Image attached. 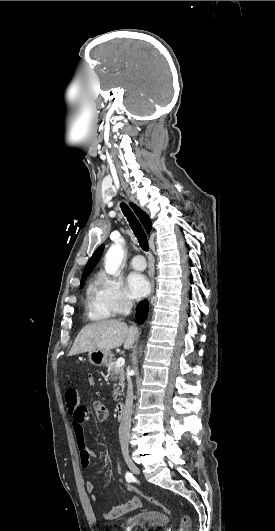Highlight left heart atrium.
Here are the masks:
<instances>
[{
    "instance_id": "left-heart-atrium-1",
    "label": "left heart atrium",
    "mask_w": 275,
    "mask_h": 531,
    "mask_svg": "<svg viewBox=\"0 0 275 531\" xmlns=\"http://www.w3.org/2000/svg\"><path fill=\"white\" fill-rule=\"evenodd\" d=\"M149 283L145 275L131 272L126 280V289L133 298H140L148 291Z\"/></svg>"
}]
</instances>
